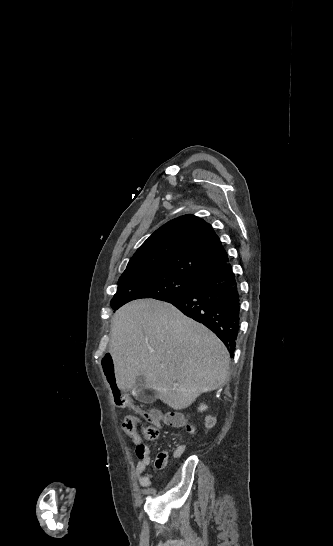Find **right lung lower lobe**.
Masks as SVG:
<instances>
[{
	"instance_id": "right-lung-lower-lobe-1",
	"label": "right lung lower lobe",
	"mask_w": 333,
	"mask_h": 546,
	"mask_svg": "<svg viewBox=\"0 0 333 546\" xmlns=\"http://www.w3.org/2000/svg\"><path fill=\"white\" fill-rule=\"evenodd\" d=\"M186 316L204 324L234 356L240 327V295L229 263L204 275L190 291L165 299Z\"/></svg>"
}]
</instances>
